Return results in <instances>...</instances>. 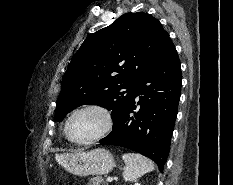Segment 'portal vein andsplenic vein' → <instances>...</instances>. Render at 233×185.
<instances>
[{
    "mask_svg": "<svg viewBox=\"0 0 233 185\" xmlns=\"http://www.w3.org/2000/svg\"><path fill=\"white\" fill-rule=\"evenodd\" d=\"M106 181H107V182H112V181H113V178H112V177H108V178L106 179Z\"/></svg>",
    "mask_w": 233,
    "mask_h": 185,
    "instance_id": "obj_1",
    "label": "portal vein and splenic vein"
}]
</instances>
